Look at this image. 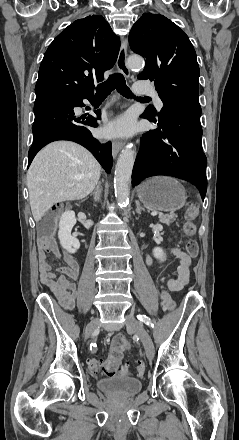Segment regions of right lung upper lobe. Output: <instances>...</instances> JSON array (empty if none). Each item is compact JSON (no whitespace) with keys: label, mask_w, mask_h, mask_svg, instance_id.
Listing matches in <instances>:
<instances>
[{"label":"right lung upper lobe","mask_w":239,"mask_h":440,"mask_svg":"<svg viewBox=\"0 0 239 440\" xmlns=\"http://www.w3.org/2000/svg\"><path fill=\"white\" fill-rule=\"evenodd\" d=\"M120 49L118 36L98 15L75 20L50 44L39 68L37 96L93 93V82L102 81L113 67Z\"/></svg>","instance_id":"obj_1"}]
</instances>
